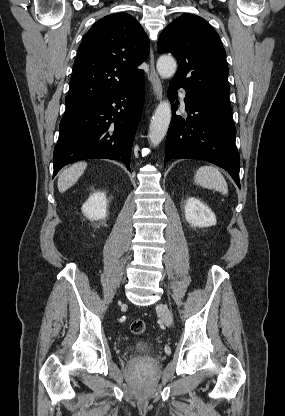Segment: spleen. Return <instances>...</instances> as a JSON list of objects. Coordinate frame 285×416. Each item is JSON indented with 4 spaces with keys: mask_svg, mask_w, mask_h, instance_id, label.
<instances>
[{
    "mask_svg": "<svg viewBox=\"0 0 285 416\" xmlns=\"http://www.w3.org/2000/svg\"><path fill=\"white\" fill-rule=\"evenodd\" d=\"M194 180L197 186L208 188V190H216V192H221L223 196L228 194V186L224 176L213 166H202V168H199Z\"/></svg>",
    "mask_w": 285,
    "mask_h": 416,
    "instance_id": "obj_1",
    "label": "spleen"
}]
</instances>
